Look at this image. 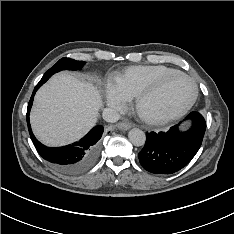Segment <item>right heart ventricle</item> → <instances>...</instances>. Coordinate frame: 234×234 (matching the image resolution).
Wrapping results in <instances>:
<instances>
[{
	"instance_id": "right-heart-ventricle-1",
	"label": "right heart ventricle",
	"mask_w": 234,
	"mask_h": 234,
	"mask_svg": "<svg viewBox=\"0 0 234 234\" xmlns=\"http://www.w3.org/2000/svg\"><path fill=\"white\" fill-rule=\"evenodd\" d=\"M175 71L164 65L131 66L117 76L116 86L127 100H133L161 77Z\"/></svg>"
}]
</instances>
